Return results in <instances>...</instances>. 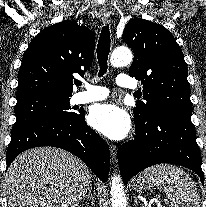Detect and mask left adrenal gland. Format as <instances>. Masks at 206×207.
<instances>
[{
  "label": "left adrenal gland",
  "mask_w": 206,
  "mask_h": 207,
  "mask_svg": "<svg viewBox=\"0 0 206 207\" xmlns=\"http://www.w3.org/2000/svg\"><path fill=\"white\" fill-rule=\"evenodd\" d=\"M134 204H135V207L138 206L139 202H138L137 198H134Z\"/></svg>",
  "instance_id": "a2214340"
}]
</instances>
